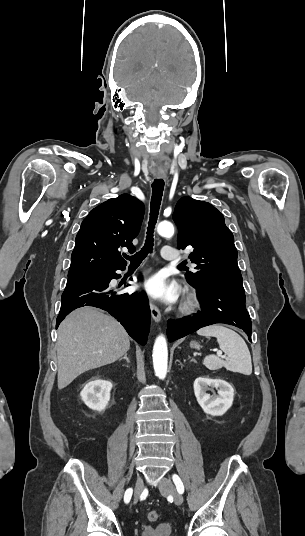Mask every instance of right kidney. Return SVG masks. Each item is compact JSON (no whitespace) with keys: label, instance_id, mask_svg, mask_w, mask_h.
<instances>
[{"label":"right kidney","instance_id":"1","mask_svg":"<svg viewBox=\"0 0 305 536\" xmlns=\"http://www.w3.org/2000/svg\"><path fill=\"white\" fill-rule=\"evenodd\" d=\"M112 388L113 386L108 380L91 378L88 384L84 386L80 396L88 408L102 412L108 406Z\"/></svg>","mask_w":305,"mask_h":536}]
</instances>
